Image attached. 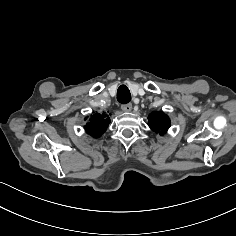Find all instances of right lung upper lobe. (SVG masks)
Wrapping results in <instances>:
<instances>
[{"instance_id":"obj_1","label":"right lung upper lobe","mask_w":236,"mask_h":236,"mask_svg":"<svg viewBox=\"0 0 236 236\" xmlns=\"http://www.w3.org/2000/svg\"><path fill=\"white\" fill-rule=\"evenodd\" d=\"M109 123L110 118L107 114L96 113L91 116L90 122L85 125V130L89 135L94 138H97L100 137L106 131Z\"/></svg>"}]
</instances>
